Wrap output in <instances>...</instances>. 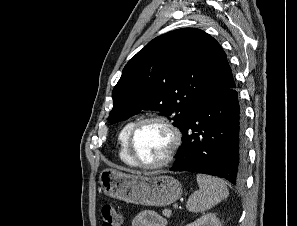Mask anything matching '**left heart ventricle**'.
<instances>
[{
	"instance_id": "obj_1",
	"label": "left heart ventricle",
	"mask_w": 297,
	"mask_h": 226,
	"mask_svg": "<svg viewBox=\"0 0 297 226\" xmlns=\"http://www.w3.org/2000/svg\"><path fill=\"white\" fill-rule=\"evenodd\" d=\"M170 143V132L163 125L150 122L138 129L133 148L140 161L150 164L158 162L166 155Z\"/></svg>"
}]
</instances>
